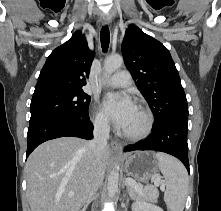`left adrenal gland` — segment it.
Segmentation results:
<instances>
[{
	"label": "left adrenal gland",
	"instance_id": "obj_1",
	"mask_svg": "<svg viewBox=\"0 0 221 211\" xmlns=\"http://www.w3.org/2000/svg\"><path fill=\"white\" fill-rule=\"evenodd\" d=\"M126 186H127L126 183H124V187H126ZM126 192L129 193L128 187H126Z\"/></svg>",
	"mask_w": 221,
	"mask_h": 211
}]
</instances>
